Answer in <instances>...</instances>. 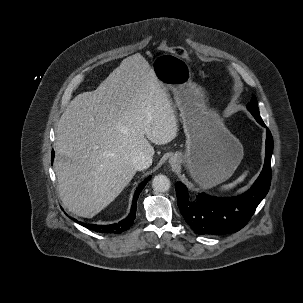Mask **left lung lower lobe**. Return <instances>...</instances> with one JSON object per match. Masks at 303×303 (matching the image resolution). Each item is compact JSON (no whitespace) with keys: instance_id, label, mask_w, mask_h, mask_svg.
Returning <instances> with one entry per match:
<instances>
[{"instance_id":"left-lung-lower-lobe-1","label":"left lung lower lobe","mask_w":303,"mask_h":303,"mask_svg":"<svg viewBox=\"0 0 303 303\" xmlns=\"http://www.w3.org/2000/svg\"><path fill=\"white\" fill-rule=\"evenodd\" d=\"M257 122L266 127L263 120ZM265 163L259 177L245 193L232 198H217L204 193L197 195L195 202L189 201L188 190L176 183L178 207L187 224L199 235H222L242 229L254 214L257 206L268 193L271 183V155L273 139L266 128Z\"/></svg>"}]
</instances>
